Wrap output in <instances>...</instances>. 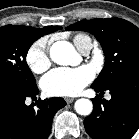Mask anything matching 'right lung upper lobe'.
<instances>
[{
  "mask_svg": "<svg viewBox=\"0 0 139 139\" xmlns=\"http://www.w3.org/2000/svg\"><path fill=\"white\" fill-rule=\"evenodd\" d=\"M27 27L28 29L34 31L35 33L39 34V35H45V34H49V33H52L56 30H59L61 29L62 27L60 26H47V27H44V28H41V29H37V28H33V27H28V26H25Z\"/></svg>",
  "mask_w": 139,
  "mask_h": 139,
  "instance_id": "cb5924a9",
  "label": "right lung upper lobe"
}]
</instances>
